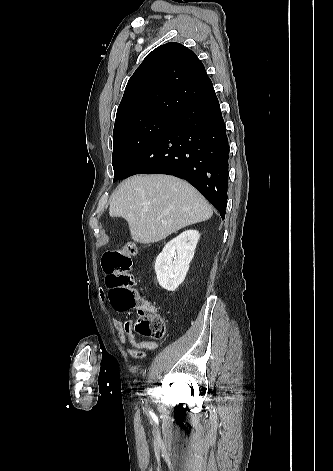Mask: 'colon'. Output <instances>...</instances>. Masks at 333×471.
<instances>
[{
  "label": "colon",
  "instance_id": "5ec220e1",
  "mask_svg": "<svg viewBox=\"0 0 333 471\" xmlns=\"http://www.w3.org/2000/svg\"><path fill=\"white\" fill-rule=\"evenodd\" d=\"M137 248L127 241L120 248L106 252L102 266L106 273V285L112 306L118 311L136 309V331L148 338L161 340L166 333L164 318L156 308L135 290V279L131 273L132 257Z\"/></svg>",
  "mask_w": 333,
  "mask_h": 471
}]
</instances>
